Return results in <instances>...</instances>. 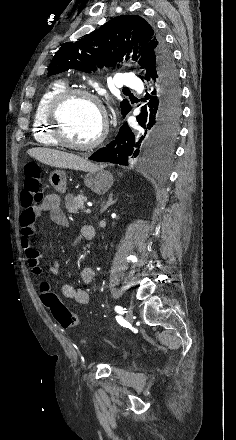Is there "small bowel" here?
Masks as SVG:
<instances>
[{
    "label": "small bowel",
    "mask_w": 236,
    "mask_h": 440,
    "mask_svg": "<svg viewBox=\"0 0 236 440\" xmlns=\"http://www.w3.org/2000/svg\"><path fill=\"white\" fill-rule=\"evenodd\" d=\"M43 212H48L51 221L56 225L61 227L67 226V218L61 208V198L57 194H49L39 205L25 208L23 210L20 217V242L25 256L28 259L29 265L35 274H41L43 272L40 252L33 245V237L36 233V219ZM94 237V228L88 225L83 226L80 235L76 240V244L85 239L91 240ZM49 271L52 274L58 273L59 263L54 262L49 267ZM80 278L84 284H91L95 278L94 270L89 267L83 268L80 273ZM61 290L66 298L75 301L77 304L86 305L89 302V293L85 289L77 288L71 283H64ZM40 299L43 306L49 309L47 304L44 302V295L42 293L40 295Z\"/></svg>",
    "instance_id": "c3829d8e"
}]
</instances>
